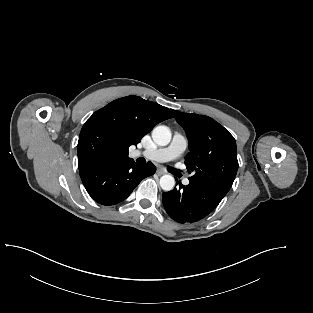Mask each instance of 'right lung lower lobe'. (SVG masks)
Listing matches in <instances>:
<instances>
[{
    "label": "right lung lower lobe",
    "mask_w": 313,
    "mask_h": 313,
    "mask_svg": "<svg viewBox=\"0 0 313 313\" xmlns=\"http://www.w3.org/2000/svg\"><path fill=\"white\" fill-rule=\"evenodd\" d=\"M151 162L139 165L133 160L95 164L79 169L88 194L98 203L115 205L126 199L140 181L155 173Z\"/></svg>",
    "instance_id": "98d812e1"
}]
</instances>
